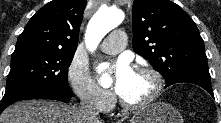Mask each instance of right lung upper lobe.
<instances>
[{"label":"right lung upper lobe","mask_w":221,"mask_h":123,"mask_svg":"<svg viewBox=\"0 0 221 123\" xmlns=\"http://www.w3.org/2000/svg\"><path fill=\"white\" fill-rule=\"evenodd\" d=\"M86 0H53L43 6L19 35L15 51L42 49L74 52Z\"/></svg>","instance_id":"cb5924a9"}]
</instances>
